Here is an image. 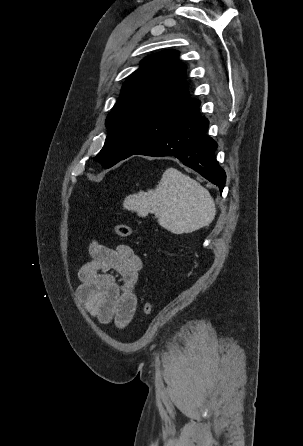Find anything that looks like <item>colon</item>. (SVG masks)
Returning a JSON list of instances; mask_svg holds the SVG:
<instances>
[{
	"label": "colon",
	"mask_w": 303,
	"mask_h": 446,
	"mask_svg": "<svg viewBox=\"0 0 303 446\" xmlns=\"http://www.w3.org/2000/svg\"><path fill=\"white\" fill-rule=\"evenodd\" d=\"M114 231L121 238H128L132 234L131 227L127 224H122V223L116 224L114 226ZM153 308H154L153 303L148 301L143 305V313L145 315H149L153 311Z\"/></svg>",
	"instance_id": "1"
}]
</instances>
